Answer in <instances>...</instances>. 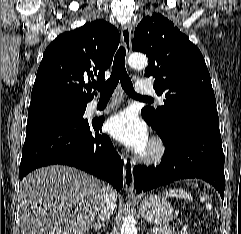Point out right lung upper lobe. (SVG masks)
Masks as SVG:
<instances>
[{
    "label": "right lung upper lobe",
    "instance_id": "1",
    "mask_svg": "<svg viewBox=\"0 0 241 234\" xmlns=\"http://www.w3.org/2000/svg\"><path fill=\"white\" fill-rule=\"evenodd\" d=\"M119 32L104 20L60 34L45 50L30 105L63 101L87 104L91 81H104L119 44Z\"/></svg>",
    "mask_w": 241,
    "mask_h": 234
}]
</instances>
